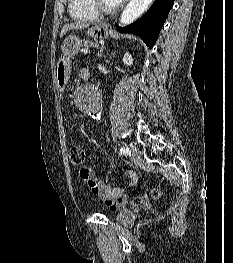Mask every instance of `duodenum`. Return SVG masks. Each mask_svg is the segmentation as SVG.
<instances>
[{
  "label": "duodenum",
  "instance_id": "1",
  "mask_svg": "<svg viewBox=\"0 0 233 263\" xmlns=\"http://www.w3.org/2000/svg\"><path fill=\"white\" fill-rule=\"evenodd\" d=\"M80 77H81V79H83V80H88L89 79V77H90V72H89V70H83L81 73H80Z\"/></svg>",
  "mask_w": 233,
  "mask_h": 263
}]
</instances>
